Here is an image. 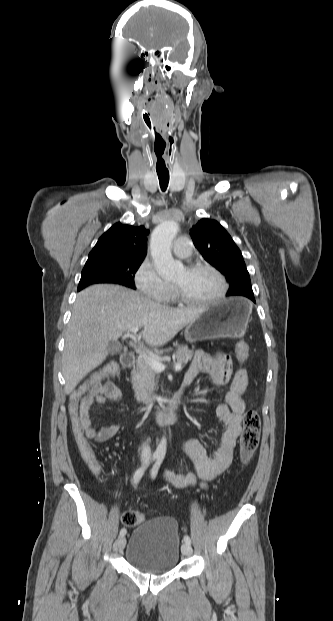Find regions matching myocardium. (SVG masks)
Returning <instances> with one entry per match:
<instances>
[{"label":"myocardium","mask_w":333,"mask_h":621,"mask_svg":"<svg viewBox=\"0 0 333 621\" xmlns=\"http://www.w3.org/2000/svg\"><path fill=\"white\" fill-rule=\"evenodd\" d=\"M186 270L188 272H194V271H199V270H208L211 271L212 273H214L218 279L220 280L221 283V289L218 292L217 295H215L214 297L210 298V299H205V300H196V299H192L190 297H188L178 286L173 285L172 289H173V293L174 296L176 298V300L187 304V305H192V306H203V305H211L214 304L216 302H219L220 300H222L228 291V283L227 280L225 278V276L223 275V273L217 269L215 266L209 264V263H205V262H197V263H193L190 264L186 267Z\"/></svg>","instance_id":"obj_1"}]
</instances>
